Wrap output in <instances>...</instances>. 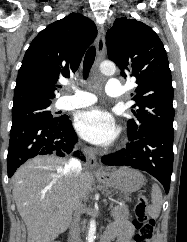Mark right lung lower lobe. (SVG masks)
<instances>
[{
    "mask_svg": "<svg viewBox=\"0 0 187 242\" xmlns=\"http://www.w3.org/2000/svg\"><path fill=\"white\" fill-rule=\"evenodd\" d=\"M77 135L67 116L61 122H26L12 126L7 156L8 177L30 158L53 154L65 156L73 151ZM79 151L74 155L81 160Z\"/></svg>",
    "mask_w": 187,
    "mask_h": 242,
    "instance_id": "1",
    "label": "right lung lower lobe"
}]
</instances>
